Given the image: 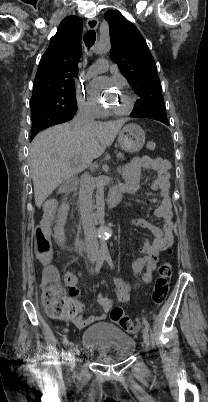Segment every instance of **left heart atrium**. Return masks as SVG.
Returning a JSON list of instances; mask_svg holds the SVG:
<instances>
[{
	"mask_svg": "<svg viewBox=\"0 0 208 402\" xmlns=\"http://www.w3.org/2000/svg\"><path fill=\"white\" fill-rule=\"evenodd\" d=\"M102 81V79H95L91 82V88L95 89L97 85Z\"/></svg>",
	"mask_w": 208,
	"mask_h": 402,
	"instance_id": "1",
	"label": "left heart atrium"
}]
</instances>
